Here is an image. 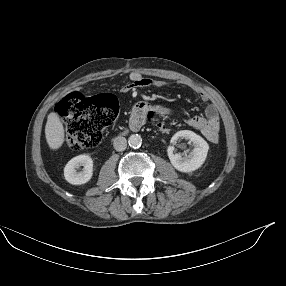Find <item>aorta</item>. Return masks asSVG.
<instances>
[{"label": "aorta", "instance_id": "1", "mask_svg": "<svg viewBox=\"0 0 286 286\" xmlns=\"http://www.w3.org/2000/svg\"><path fill=\"white\" fill-rule=\"evenodd\" d=\"M128 143L130 147L139 148L142 144V138L138 134H133L129 137Z\"/></svg>", "mask_w": 286, "mask_h": 286}]
</instances>
